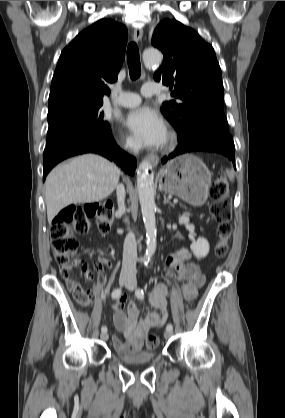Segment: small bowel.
<instances>
[{
	"label": "small bowel",
	"mask_w": 285,
	"mask_h": 418,
	"mask_svg": "<svg viewBox=\"0 0 285 418\" xmlns=\"http://www.w3.org/2000/svg\"><path fill=\"white\" fill-rule=\"evenodd\" d=\"M107 265L108 260L102 259ZM86 263L79 259L74 258L72 261L73 267H83ZM165 266L169 275L176 274L183 282L181 286V293L187 300L195 299L198 291L203 287L205 283V276L200 271L198 265L192 261V254L186 250L181 249L175 254L169 255L166 258ZM89 282H93V279L86 276ZM64 280L67 286L72 289L74 281L70 278L69 274L64 276ZM90 300L94 297H98L102 294L100 283H93L88 289ZM167 288L163 283H157L153 286L149 292V298L154 310L143 315L139 321V309L135 303H129L127 312L123 311L124 299L122 297L117 298V301L113 305L115 312L114 322L116 328L123 332L128 343H123L117 336L112 337L114 348L121 352H128L130 350H140L142 341L147 337L152 329L161 326L167 317ZM78 303L81 306H87L90 302Z\"/></svg>",
	"instance_id": "c3829d8e"
}]
</instances>
